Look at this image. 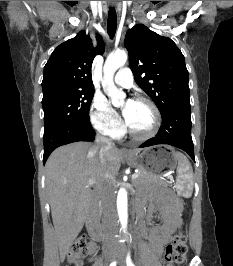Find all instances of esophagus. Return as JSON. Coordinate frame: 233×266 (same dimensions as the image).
<instances>
[{
	"instance_id": "34e87169",
	"label": "esophagus",
	"mask_w": 233,
	"mask_h": 266,
	"mask_svg": "<svg viewBox=\"0 0 233 266\" xmlns=\"http://www.w3.org/2000/svg\"><path fill=\"white\" fill-rule=\"evenodd\" d=\"M112 4H114V1H112ZM120 151L123 154H129L130 153V151L128 149H126V148H122Z\"/></svg>"
}]
</instances>
